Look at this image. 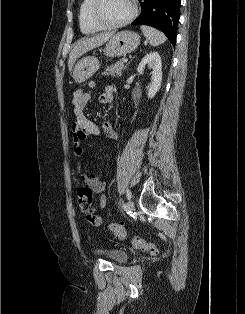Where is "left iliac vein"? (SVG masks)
<instances>
[{
	"label": "left iliac vein",
	"instance_id": "left-iliac-vein-1",
	"mask_svg": "<svg viewBox=\"0 0 245 314\" xmlns=\"http://www.w3.org/2000/svg\"><path fill=\"white\" fill-rule=\"evenodd\" d=\"M127 210L129 212H132L134 210V202L132 200H129L128 201V204H127Z\"/></svg>",
	"mask_w": 245,
	"mask_h": 314
}]
</instances>
